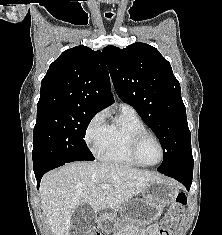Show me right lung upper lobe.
Listing matches in <instances>:
<instances>
[{"mask_svg":"<svg viewBox=\"0 0 222 235\" xmlns=\"http://www.w3.org/2000/svg\"><path fill=\"white\" fill-rule=\"evenodd\" d=\"M101 51L76 46L64 51L41 81L37 113L54 107L99 112L114 101Z\"/></svg>","mask_w":222,"mask_h":235,"instance_id":"right-lung-upper-lobe-1","label":"right lung upper lobe"}]
</instances>
